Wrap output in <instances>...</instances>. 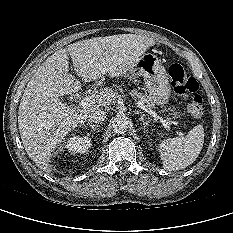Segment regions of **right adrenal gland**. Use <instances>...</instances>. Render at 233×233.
Instances as JSON below:
<instances>
[{"instance_id": "right-adrenal-gland-1", "label": "right adrenal gland", "mask_w": 233, "mask_h": 233, "mask_svg": "<svg viewBox=\"0 0 233 233\" xmlns=\"http://www.w3.org/2000/svg\"><path fill=\"white\" fill-rule=\"evenodd\" d=\"M87 126L91 127L92 129H96L99 125H94V124L88 123Z\"/></svg>"}]
</instances>
